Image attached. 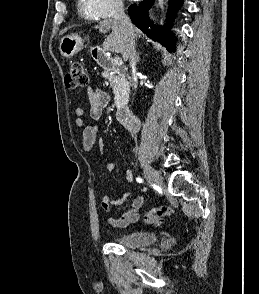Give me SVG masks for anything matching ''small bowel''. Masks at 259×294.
<instances>
[{
	"mask_svg": "<svg viewBox=\"0 0 259 294\" xmlns=\"http://www.w3.org/2000/svg\"><path fill=\"white\" fill-rule=\"evenodd\" d=\"M89 100V115L94 120H99L103 114L105 107L109 103V95L101 89H89L88 90ZM76 119V125L82 129V147L84 151L91 157L94 155V147L98 138L99 128L96 125L86 124L84 121L85 110L78 107L74 111ZM116 166L114 163H108L107 169L109 171L115 170ZM124 181H132V173L126 171L123 176ZM125 200V197L112 199L109 195H104L101 199V208L109 213L112 206L121 205ZM144 204L143 196H137L131 203V208L126 211L120 217L109 216L107 217V223L115 228H123L132 223H135L140 217V209Z\"/></svg>",
	"mask_w": 259,
	"mask_h": 294,
	"instance_id": "c3829d8e",
	"label": "small bowel"
}]
</instances>
